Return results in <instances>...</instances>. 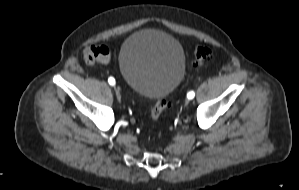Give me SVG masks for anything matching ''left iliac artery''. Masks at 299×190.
Instances as JSON below:
<instances>
[{"instance_id": "left-iliac-artery-1", "label": "left iliac artery", "mask_w": 299, "mask_h": 190, "mask_svg": "<svg viewBox=\"0 0 299 190\" xmlns=\"http://www.w3.org/2000/svg\"><path fill=\"white\" fill-rule=\"evenodd\" d=\"M194 96H195L194 91H190V92H188V94H187V98H188V99H193Z\"/></svg>"}]
</instances>
